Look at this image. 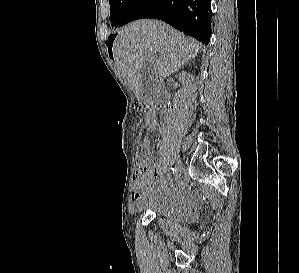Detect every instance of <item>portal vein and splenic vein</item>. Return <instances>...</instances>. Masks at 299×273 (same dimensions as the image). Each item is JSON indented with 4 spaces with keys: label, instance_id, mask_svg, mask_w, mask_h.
<instances>
[{
    "label": "portal vein and splenic vein",
    "instance_id": "1",
    "mask_svg": "<svg viewBox=\"0 0 299 273\" xmlns=\"http://www.w3.org/2000/svg\"><path fill=\"white\" fill-rule=\"evenodd\" d=\"M157 54L156 53H153V56H156Z\"/></svg>",
    "mask_w": 299,
    "mask_h": 273
}]
</instances>
